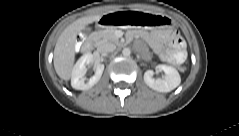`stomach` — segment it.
Listing matches in <instances>:
<instances>
[{
    "instance_id": "1",
    "label": "stomach",
    "mask_w": 239,
    "mask_h": 136,
    "mask_svg": "<svg viewBox=\"0 0 239 136\" xmlns=\"http://www.w3.org/2000/svg\"><path fill=\"white\" fill-rule=\"evenodd\" d=\"M154 19L157 20V24H169L170 23V20L167 19V18H163L161 16H154Z\"/></svg>"
}]
</instances>
